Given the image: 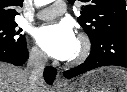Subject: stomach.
Masks as SVG:
<instances>
[{
	"label": "stomach",
	"mask_w": 127,
	"mask_h": 92,
	"mask_svg": "<svg viewBox=\"0 0 127 92\" xmlns=\"http://www.w3.org/2000/svg\"><path fill=\"white\" fill-rule=\"evenodd\" d=\"M58 92H127V71L106 66L88 72Z\"/></svg>",
	"instance_id": "obj_1"
}]
</instances>
